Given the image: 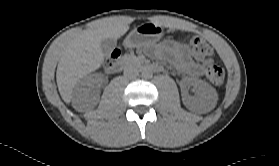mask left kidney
Wrapping results in <instances>:
<instances>
[{
    "label": "left kidney",
    "mask_w": 279,
    "mask_h": 166,
    "mask_svg": "<svg viewBox=\"0 0 279 166\" xmlns=\"http://www.w3.org/2000/svg\"><path fill=\"white\" fill-rule=\"evenodd\" d=\"M183 83L196 90L194 97L187 92L182 93V102L190 110H200L210 107L216 102L217 92L207 82L196 78H185Z\"/></svg>",
    "instance_id": "1"
}]
</instances>
